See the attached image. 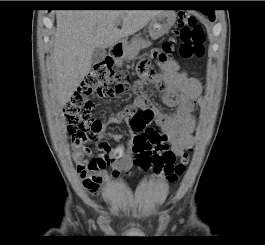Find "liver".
Here are the masks:
<instances>
[{"label": "liver", "mask_w": 265, "mask_h": 245, "mask_svg": "<svg viewBox=\"0 0 265 245\" xmlns=\"http://www.w3.org/2000/svg\"><path fill=\"white\" fill-rule=\"evenodd\" d=\"M161 10H61L56 13L57 28L51 63L56 98L66 105L91 69L95 48H108L135 34ZM122 21L121 29L117 21Z\"/></svg>", "instance_id": "1"}]
</instances>
